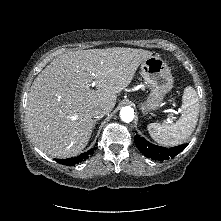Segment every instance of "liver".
<instances>
[{"mask_svg":"<svg viewBox=\"0 0 221 221\" xmlns=\"http://www.w3.org/2000/svg\"><path fill=\"white\" fill-rule=\"evenodd\" d=\"M151 56L143 49L114 47L68 51L55 58L28 94L25 118L32 140L51 157L78 155L92 134L90 109L104 106L111 112L116 94ZM93 82L96 90L91 89Z\"/></svg>","mask_w":221,"mask_h":221,"instance_id":"liver-1","label":"liver"}]
</instances>
